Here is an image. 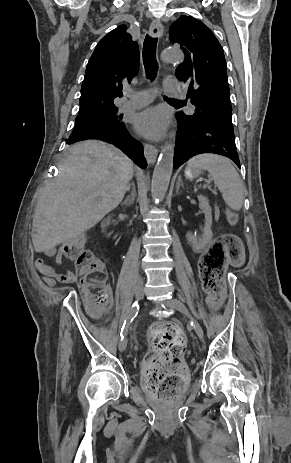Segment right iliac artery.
Segmentation results:
<instances>
[{
    "label": "right iliac artery",
    "instance_id": "82829eb1",
    "mask_svg": "<svg viewBox=\"0 0 291 463\" xmlns=\"http://www.w3.org/2000/svg\"><path fill=\"white\" fill-rule=\"evenodd\" d=\"M138 311H139V304L138 302H134V304L132 305V308L126 318V320L124 321V324L121 328V332H120V336H121V339H123L126 334H127V330H128V326L130 325V323L133 321V319L137 316L138 314Z\"/></svg>",
    "mask_w": 291,
    "mask_h": 463
}]
</instances>
